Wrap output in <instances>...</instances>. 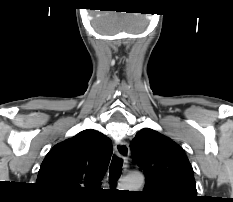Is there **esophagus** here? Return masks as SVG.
<instances>
[{"mask_svg":"<svg viewBox=\"0 0 233 202\" xmlns=\"http://www.w3.org/2000/svg\"><path fill=\"white\" fill-rule=\"evenodd\" d=\"M115 149H116L118 156L120 158L124 159L125 161H127L128 157H129L128 144L124 141L117 142L115 145Z\"/></svg>","mask_w":233,"mask_h":202,"instance_id":"34e87169","label":"esophagus"}]
</instances>
